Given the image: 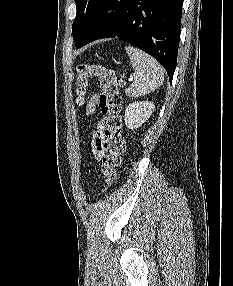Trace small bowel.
Returning a JSON list of instances; mask_svg holds the SVG:
<instances>
[{
    "label": "small bowel",
    "instance_id": "1",
    "mask_svg": "<svg viewBox=\"0 0 233 286\" xmlns=\"http://www.w3.org/2000/svg\"><path fill=\"white\" fill-rule=\"evenodd\" d=\"M98 103V95L93 94L89 100L88 106H87V115H91L95 112L97 108ZM106 139L105 135V128L102 123H99L97 128L93 131V138H92V152L94 157L97 160H100L105 155L104 150V142Z\"/></svg>",
    "mask_w": 233,
    "mask_h": 286
}]
</instances>
